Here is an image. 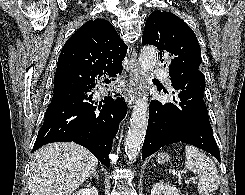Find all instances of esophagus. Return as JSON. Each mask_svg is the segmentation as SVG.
<instances>
[{"label": "esophagus", "mask_w": 245, "mask_h": 195, "mask_svg": "<svg viewBox=\"0 0 245 195\" xmlns=\"http://www.w3.org/2000/svg\"><path fill=\"white\" fill-rule=\"evenodd\" d=\"M142 73L137 61V53L133 52L129 61V84L127 87L126 101L132 108L138 94L139 85L142 79Z\"/></svg>", "instance_id": "34e87169"}]
</instances>
